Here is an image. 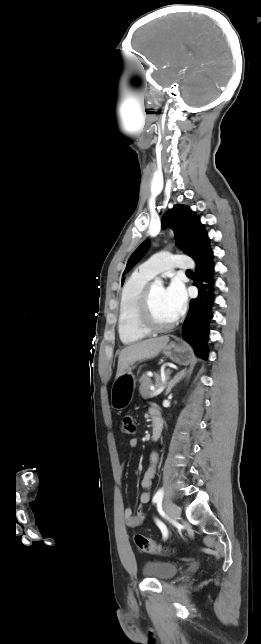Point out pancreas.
Returning a JSON list of instances; mask_svg holds the SVG:
<instances>
[{"instance_id":"1","label":"pancreas","mask_w":261,"mask_h":644,"mask_svg":"<svg viewBox=\"0 0 261 644\" xmlns=\"http://www.w3.org/2000/svg\"><path fill=\"white\" fill-rule=\"evenodd\" d=\"M170 374H171V371L167 370L165 372L166 378L169 377ZM139 382H140L139 390H140L141 396L144 399L152 397L151 394L153 393V391L150 390V386L152 384V381H151L150 377L147 374H143L141 376V378L139 379ZM155 382H156V384H155L156 389H158L160 386H162L163 383H162L161 376L159 374H155Z\"/></svg>"}]
</instances>
